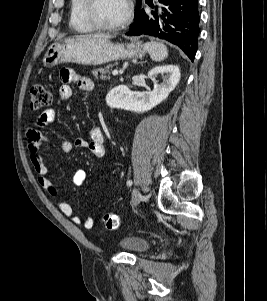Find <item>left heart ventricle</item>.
<instances>
[{
  "label": "left heart ventricle",
  "instance_id": "obj_1",
  "mask_svg": "<svg viewBox=\"0 0 267 301\" xmlns=\"http://www.w3.org/2000/svg\"><path fill=\"white\" fill-rule=\"evenodd\" d=\"M125 10V0H97L95 15L100 22L110 25L120 21Z\"/></svg>",
  "mask_w": 267,
  "mask_h": 301
}]
</instances>
